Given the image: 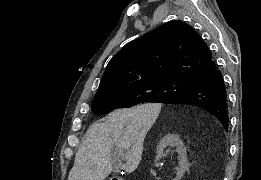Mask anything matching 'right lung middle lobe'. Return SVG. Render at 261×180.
<instances>
[{
	"label": "right lung middle lobe",
	"instance_id": "right-lung-middle-lobe-1",
	"mask_svg": "<svg viewBox=\"0 0 261 180\" xmlns=\"http://www.w3.org/2000/svg\"><path fill=\"white\" fill-rule=\"evenodd\" d=\"M194 83L185 80H162L122 88L99 97L92 103V112L103 115L117 108H129L143 102L166 103L191 90Z\"/></svg>",
	"mask_w": 261,
	"mask_h": 180
}]
</instances>
